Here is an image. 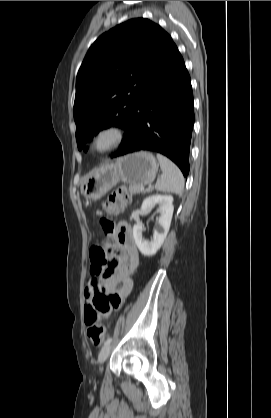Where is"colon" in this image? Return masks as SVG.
I'll use <instances>...</instances> for the list:
<instances>
[{
  "instance_id": "obj_1",
  "label": "colon",
  "mask_w": 271,
  "mask_h": 418,
  "mask_svg": "<svg viewBox=\"0 0 271 418\" xmlns=\"http://www.w3.org/2000/svg\"><path fill=\"white\" fill-rule=\"evenodd\" d=\"M130 202V195L126 188L120 187L115 190L104 202L101 211H99V225L103 233L111 236L114 233V224L105 214L115 215L120 213ZM109 246H95L90 251L91 273L95 276L103 275L108 277L117 266V260L106 261V251ZM97 287L99 284L95 280ZM110 304V300L100 290H97L94 305L85 312V322L87 325V335L94 345H100L105 338L106 328L102 321V315Z\"/></svg>"
}]
</instances>
